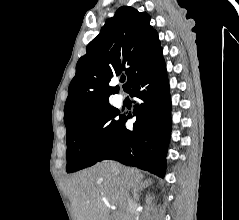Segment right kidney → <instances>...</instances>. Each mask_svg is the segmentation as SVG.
Instances as JSON below:
<instances>
[{"label":"right kidney","instance_id":"right-kidney-1","mask_svg":"<svg viewBox=\"0 0 239 220\" xmlns=\"http://www.w3.org/2000/svg\"><path fill=\"white\" fill-rule=\"evenodd\" d=\"M149 200H150V197L147 196L146 197V202H149Z\"/></svg>","mask_w":239,"mask_h":220}]
</instances>
